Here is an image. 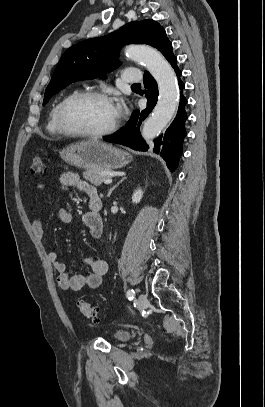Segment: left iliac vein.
Returning <instances> with one entry per match:
<instances>
[{
	"label": "left iliac vein",
	"mask_w": 265,
	"mask_h": 407,
	"mask_svg": "<svg viewBox=\"0 0 265 407\" xmlns=\"http://www.w3.org/2000/svg\"><path fill=\"white\" fill-rule=\"evenodd\" d=\"M147 296L145 294H139L137 297V306L139 309H144L147 306Z\"/></svg>",
	"instance_id": "1"
}]
</instances>
